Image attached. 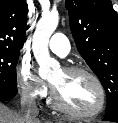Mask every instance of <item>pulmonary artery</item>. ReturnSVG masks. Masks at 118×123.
Returning a JSON list of instances; mask_svg holds the SVG:
<instances>
[{
    "mask_svg": "<svg viewBox=\"0 0 118 123\" xmlns=\"http://www.w3.org/2000/svg\"><path fill=\"white\" fill-rule=\"evenodd\" d=\"M50 50L60 57H65L70 51V43L62 33L54 34L49 41Z\"/></svg>",
    "mask_w": 118,
    "mask_h": 123,
    "instance_id": "obj_1",
    "label": "pulmonary artery"
}]
</instances>
